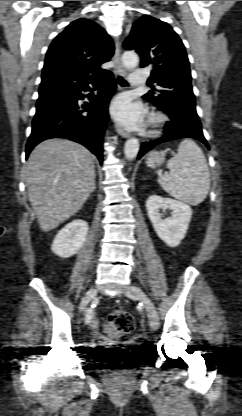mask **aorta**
Returning <instances> with one entry per match:
<instances>
[{"label":"aorta","instance_id":"1","mask_svg":"<svg viewBox=\"0 0 242 416\" xmlns=\"http://www.w3.org/2000/svg\"><path fill=\"white\" fill-rule=\"evenodd\" d=\"M122 62L126 69L131 70L137 67L139 57L134 51H126L122 55ZM139 141L137 138H130L124 146V154L128 160H133L139 152Z\"/></svg>","mask_w":242,"mask_h":416}]
</instances>
